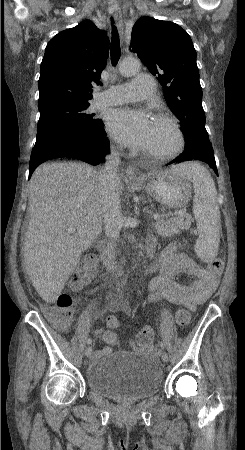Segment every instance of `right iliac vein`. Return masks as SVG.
Returning <instances> with one entry per match:
<instances>
[{"label":"right iliac vein","mask_w":245,"mask_h":450,"mask_svg":"<svg viewBox=\"0 0 245 450\" xmlns=\"http://www.w3.org/2000/svg\"><path fill=\"white\" fill-rule=\"evenodd\" d=\"M91 354H92V348L91 347H87L86 350H85V355L87 357H89V356H91Z\"/></svg>","instance_id":"obj_1"}]
</instances>
